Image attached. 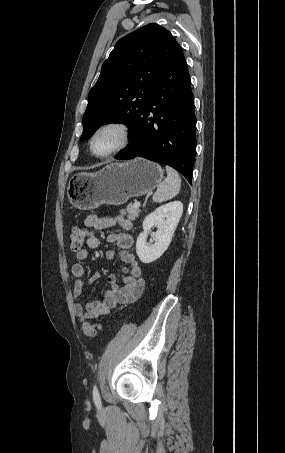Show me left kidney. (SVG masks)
<instances>
[{"mask_svg":"<svg viewBox=\"0 0 285 453\" xmlns=\"http://www.w3.org/2000/svg\"><path fill=\"white\" fill-rule=\"evenodd\" d=\"M183 213V204L173 201L156 208L143 221V232L136 242V252L141 262L151 263L167 250ZM154 226L157 231L151 244L147 243L148 234Z\"/></svg>","mask_w":285,"mask_h":453,"instance_id":"left-kidney-1","label":"left kidney"}]
</instances>
